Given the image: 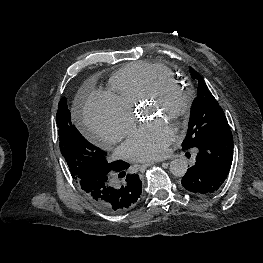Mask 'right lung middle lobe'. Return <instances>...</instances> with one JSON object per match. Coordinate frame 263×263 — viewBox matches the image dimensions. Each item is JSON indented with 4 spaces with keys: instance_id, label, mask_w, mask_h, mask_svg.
I'll return each mask as SVG.
<instances>
[{
    "instance_id": "right-lung-middle-lobe-1",
    "label": "right lung middle lobe",
    "mask_w": 263,
    "mask_h": 263,
    "mask_svg": "<svg viewBox=\"0 0 263 263\" xmlns=\"http://www.w3.org/2000/svg\"><path fill=\"white\" fill-rule=\"evenodd\" d=\"M56 121L60 151L74 180L112 170L115 162L108 159L106 152L88 142L73 125L66 98L59 102Z\"/></svg>"
}]
</instances>
